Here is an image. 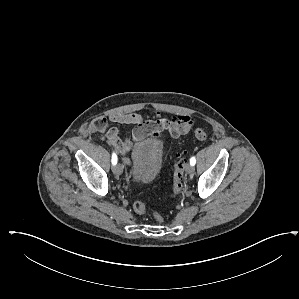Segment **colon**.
Masks as SVG:
<instances>
[{
	"instance_id": "1",
	"label": "colon",
	"mask_w": 299,
	"mask_h": 299,
	"mask_svg": "<svg viewBox=\"0 0 299 299\" xmlns=\"http://www.w3.org/2000/svg\"><path fill=\"white\" fill-rule=\"evenodd\" d=\"M95 127L99 131H104L106 129V123L103 120H99L95 123ZM193 135L196 139L200 141H205L208 138V134L205 130L201 128H196L193 131ZM184 159L182 157H177L174 163V172H173V187L171 195L173 197L179 195L183 189L182 179L184 173ZM133 208L138 214H145L146 207L142 201H136L133 205ZM153 217L159 221H163V217L159 213H154Z\"/></svg>"
}]
</instances>
